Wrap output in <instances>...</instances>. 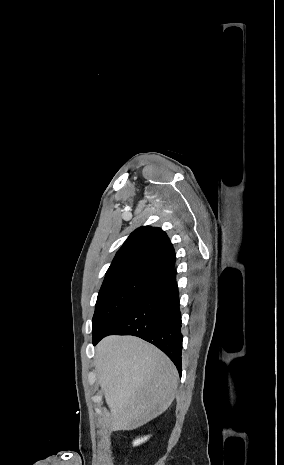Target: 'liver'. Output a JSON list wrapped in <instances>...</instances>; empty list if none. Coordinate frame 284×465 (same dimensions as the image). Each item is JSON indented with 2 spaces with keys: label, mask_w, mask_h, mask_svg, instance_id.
I'll return each instance as SVG.
<instances>
[{
  "label": "liver",
  "mask_w": 284,
  "mask_h": 465,
  "mask_svg": "<svg viewBox=\"0 0 284 465\" xmlns=\"http://www.w3.org/2000/svg\"><path fill=\"white\" fill-rule=\"evenodd\" d=\"M95 365L111 413L102 425L112 431L142 427L175 399L178 375L173 363L137 337H106L96 347Z\"/></svg>",
  "instance_id": "6515ba94"
}]
</instances>
